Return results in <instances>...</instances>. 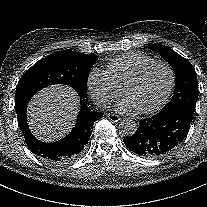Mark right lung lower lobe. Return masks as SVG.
I'll list each match as a JSON object with an SVG mask.
<instances>
[{"mask_svg": "<svg viewBox=\"0 0 207 207\" xmlns=\"http://www.w3.org/2000/svg\"><path fill=\"white\" fill-rule=\"evenodd\" d=\"M28 102L15 106L18 126L31 152L42 160L55 165L71 162L81 155L83 149L88 144L94 122L104 114L101 112H90L85 102L81 100L80 112L73 130L59 141L45 143L36 139L29 129L26 118Z\"/></svg>", "mask_w": 207, "mask_h": 207, "instance_id": "1", "label": "right lung lower lobe"}]
</instances>
